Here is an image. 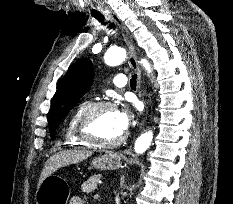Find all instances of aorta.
I'll use <instances>...</instances> for the list:
<instances>
[{"label":"aorta","instance_id":"1","mask_svg":"<svg viewBox=\"0 0 233 204\" xmlns=\"http://www.w3.org/2000/svg\"><path fill=\"white\" fill-rule=\"evenodd\" d=\"M126 50L121 47L110 48L104 56L105 63L109 66H117L126 59ZM141 64L148 73L152 72L150 63L146 59L141 60ZM153 139L152 131L142 133L135 142L134 150L137 154L144 153L150 146Z\"/></svg>","mask_w":233,"mask_h":204}]
</instances>
